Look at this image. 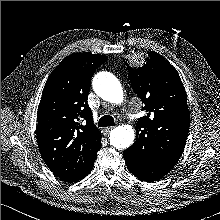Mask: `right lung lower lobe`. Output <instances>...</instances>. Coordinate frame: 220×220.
I'll list each match as a JSON object with an SVG mask.
<instances>
[{
  "mask_svg": "<svg viewBox=\"0 0 220 220\" xmlns=\"http://www.w3.org/2000/svg\"><path fill=\"white\" fill-rule=\"evenodd\" d=\"M94 165V164H93ZM93 165L91 166V168H89V170L83 175L82 178H84L85 176H87L90 172H91V169L93 168ZM81 178V179H82Z\"/></svg>",
  "mask_w": 220,
  "mask_h": 220,
  "instance_id": "98d812e1",
  "label": "right lung lower lobe"
}]
</instances>
